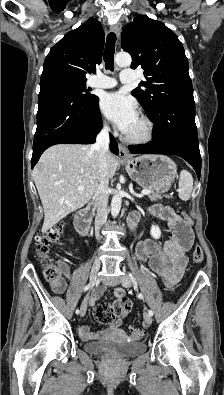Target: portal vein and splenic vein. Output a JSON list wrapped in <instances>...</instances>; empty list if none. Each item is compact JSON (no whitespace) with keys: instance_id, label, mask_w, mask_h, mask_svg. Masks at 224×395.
Returning a JSON list of instances; mask_svg holds the SVG:
<instances>
[{"instance_id":"obj_1","label":"portal vein and splenic vein","mask_w":224,"mask_h":395,"mask_svg":"<svg viewBox=\"0 0 224 395\" xmlns=\"http://www.w3.org/2000/svg\"><path fill=\"white\" fill-rule=\"evenodd\" d=\"M78 189H79V190H84L85 187L80 186V187H78ZM150 193H151L150 190H142V191H141V194H142V195H149Z\"/></svg>"}]
</instances>
